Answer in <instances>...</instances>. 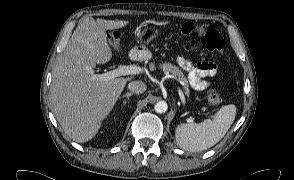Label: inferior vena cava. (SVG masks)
<instances>
[{
  "label": "inferior vena cava",
  "instance_id": "obj_1",
  "mask_svg": "<svg viewBox=\"0 0 294 180\" xmlns=\"http://www.w3.org/2000/svg\"><path fill=\"white\" fill-rule=\"evenodd\" d=\"M128 89L135 93H142L145 91L146 85L140 80H134L128 83Z\"/></svg>",
  "mask_w": 294,
  "mask_h": 180
}]
</instances>
